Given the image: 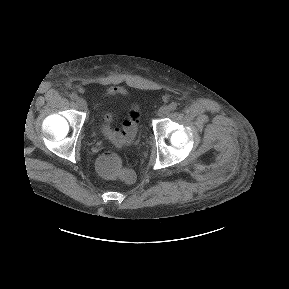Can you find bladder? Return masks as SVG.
I'll return each instance as SVG.
<instances>
[{
	"label": "bladder",
	"instance_id": "obj_1",
	"mask_svg": "<svg viewBox=\"0 0 289 289\" xmlns=\"http://www.w3.org/2000/svg\"><path fill=\"white\" fill-rule=\"evenodd\" d=\"M113 118V115L111 112H105L101 115V121H111Z\"/></svg>",
	"mask_w": 289,
	"mask_h": 289
}]
</instances>
